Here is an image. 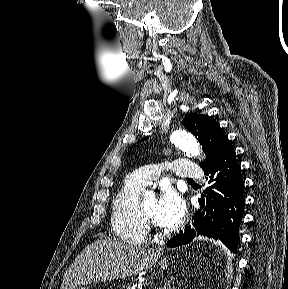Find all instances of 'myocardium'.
<instances>
[{"label":"myocardium","mask_w":288,"mask_h":289,"mask_svg":"<svg viewBox=\"0 0 288 289\" xmlns=\"http://www.w3.org/2000/svg\"><path fill=\"white\" fill-rule=\"evenodd\" d=\"M137 218H138L140 224L146 230L154 229V230L158 231V229H157L156 225L154 224V222L145 215L144 211L142 210V206H141V204L139 202L137 204Z\"/></svg>","instance_id":"1"}]
</instances>
